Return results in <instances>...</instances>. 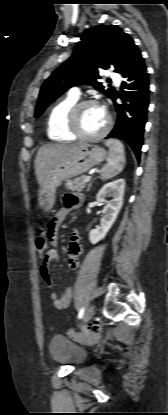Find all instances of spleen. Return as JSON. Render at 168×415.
Here are the masks:
<instances>
[{
	"label": "spleen",
	"mask_w": 168,
	"mask_h": 415,
	"mask_svg": "<svg viewBox=\"0 0 168 415\" xmlns=\"http://www.w3.org/2000/svg\"><path fill=\"white\" fill-rule=\"evenodd\" d=\"M105 145L109 148L107 164L101 169V179L107 180L118 175L124 169L125 151L123 144L116 139L105 141Z\"/></svg>",
	"instance_id": "obj_1"
}]
</instances>
